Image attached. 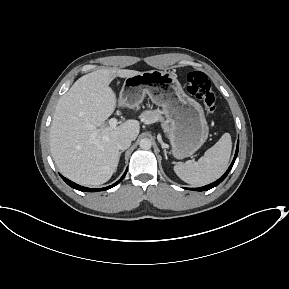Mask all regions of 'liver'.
Listing matches in <instances>:
<instances>
[{"label": "liver", "instance_id": "obj_1", "mask_svg": "<svg viewBox=\"0 0 289 289\" xmlns=\"http://www.w3.org/2000/svg\"><path fill=\"white\" fill-rule=\"evenodd\" d=\"M141 72L128 69H100L79 78L59 99L50 129L52 158L61 173L81 185H101L116 171L120 137L135 140L140 131L137 120L115 128L105 121L116 108V96L109 84L116 77ZM119 106H122L118 102Z\"/></svg>", "mask_w": 289, "mask_h": 289}]
</instances>
